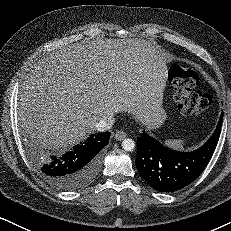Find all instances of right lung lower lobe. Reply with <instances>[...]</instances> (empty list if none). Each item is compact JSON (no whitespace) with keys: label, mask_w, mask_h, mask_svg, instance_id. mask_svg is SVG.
<instances>
[{"label":"right lung lower lobe","mask_w":231,"mask_h":231,"mask_svg":"<svg viewBox=\"0 0 231 231\" xmlns=\"http://www.w3.org/2000/svg\"><path fill=\"white\" fill-rule=\"evenodd\" d=\"M110 133L91 135L87 141L63 153L45 156L34 154L39 174L54 187L72 191L88 184L99 172L102 149L109 142Z\"/></svg>","instance_id":"1"}]
</instances>
